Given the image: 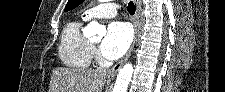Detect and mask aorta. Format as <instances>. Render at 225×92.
Instances as JSON below:
<instances>
[{"label": "aorta", "mask_w": 225, "mask_h": 92, "mask_svg": "<svg viewBox=\"0 0 225 92\" xmlns=\"http://www.w3.org/2000/svg\"><path fill=\"white\" fill-rule=\"evenodd\" d=\"M101 2L107 0H100ZM85 35L87 36H95L96 34H104L105 28L97 23L96 21L90 22L84 30ZM133 74V66L131 63H127L120 69L113 92H126L128 88V84L131 80Z\"/></svg>", "instance_id": "1"}]
</instances>
